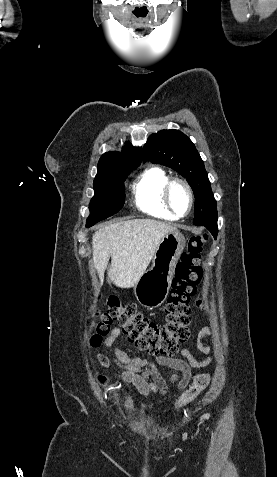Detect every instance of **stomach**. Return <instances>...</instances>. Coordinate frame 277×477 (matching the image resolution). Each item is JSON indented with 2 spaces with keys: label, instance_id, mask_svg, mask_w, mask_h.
<instances>
[{
  "label": "stomach",
  "instance_id": "stomach-1",
  "mask_svg": "<svg viewBox=\"0 0 277 477\" xmlns=\"http://www.w3.org/2000/svg\"><path fill=\"white\" fill-rule=\"evenodd\" d=\"M185 243V238L177 230L162 238L154 254L152 266L140 276L134 287V295L142 306L156 308L164 303Z\"/></svg>",
  "mask_w": 277,
  "mask_h": 477
}]
</instances>
